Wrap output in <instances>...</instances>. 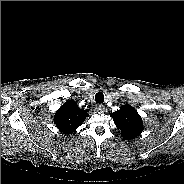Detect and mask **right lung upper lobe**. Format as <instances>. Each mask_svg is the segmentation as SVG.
Segmentation results:
<instances>
[{
    "instance_id": "right-lung-upper-lobe-1",
    "label": "right lung upper lobe",
    "mask_w": 184,
    "mask_h": 184,
    "mask_svg": "<svg viewBox=\"0 0 184 184\" xmlns=\"http://www.w3.org/2000/svg\"><path fill=\"white\" fill-rule=\"evenodd\" d=\"M88 110L80 109L78 105L69 100L64 103L54 115V123L64 134L73 133L88 116Z\"/></svg>"
}]
</instances>
